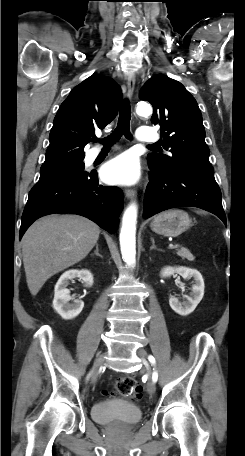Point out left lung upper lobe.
<instances>
[{"mask_svg":"<svg viewBox=\"0 0 245 456\" xmlns=\"http://www.w3.org/2000/svg\"><path fill=\"white\" fill-rule=\"evenodd\" d=\"M140 99L153 106L151 122L159 125L164 149L170 156L150 153L148 163L159 169L177 168L214 173L205 143L202 114L194 97L178 81L156 75L140 91Z\"/></svg>","mask_w":245,"mask_h":456,"instance_id":"5c2ea615","label":"left lung upper lobe"}]
</instances>
